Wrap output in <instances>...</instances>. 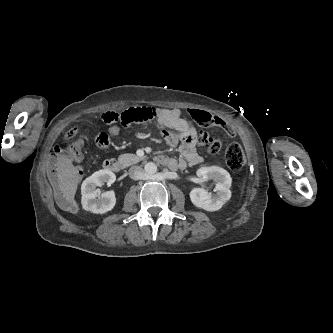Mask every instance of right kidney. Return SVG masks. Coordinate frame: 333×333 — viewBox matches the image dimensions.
Returning a JSON list of instances; mask_svg holds the SVG:
<instances>
[{
	"label": "right kidney",
	"instance_id": "obj_1",
	"mask_svg": "<svg viewBox=\"0 0 333 333\" xmlns=\"http://www.w3.org/2000/svg\"><path fill=\"white\" fill-rule=\"evenodd\" d=\"M116 180L115 174L107 169L99 170L86 178L81 185L82 207L95 214H104L113 209L116 203L113 191L104 192L97 187L110 186Z\"/></svg>",
	"mask_w": 333,
	"mask_h": 333
}]
</instances>
